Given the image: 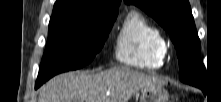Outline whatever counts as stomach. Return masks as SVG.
<instances>
[{
    "label": "stomach",
    "instance_id": "1",
    "mask_svg": "<svg viewBox=\"0 0 221 102\" xmlns=\"http://www.w3.org/2000/svg\"><path fill=\"white\" fill-rule=\"evenodd\" d=\"M169 93L161 85L146 87L141 91L139 102H168Z\"/></svg>",
    "mask_w": 221,
    "mask_h": 102
}]
</instances>
